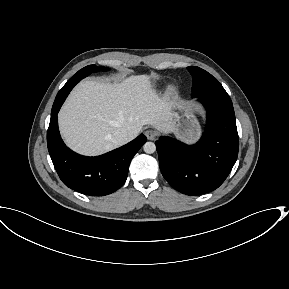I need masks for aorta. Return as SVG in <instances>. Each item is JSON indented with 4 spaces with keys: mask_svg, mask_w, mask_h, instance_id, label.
<instances>
[{
    "mask_svg": "<svg viewBox=\"0 0 289 289\" xmlns=\"http://www.w3.org/2000/svg\"><path fill=\"white\" fill-rule=\"evenodd\" d=\"M143 149L146 153L152 154L156 151V145L153 142H146L143 146Z\"/></svg>",
    "mask_w": 289,
    "mask_h": 289,
    "instance_id": "762f6f07",
    "label": "aorta"
}]
</instances>
